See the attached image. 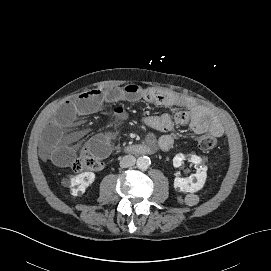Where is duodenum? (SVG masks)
<instances>
[{
  "label": "duodenum",
  "instance_id": "duodenum-1",
  "mask_svg": "<svg viewBox=\"0 0 271 271\" xmlns=\"http://www.w3.org/2000/svg\"><path fill=\"white\" fill-rule=\"evenodd\" d=\"M151 152V149L149 147H140L136 153L139 155H147Z\"/></svg>",
  "mask_w": 271,
  "mask_h": 271
}]
</instances>
